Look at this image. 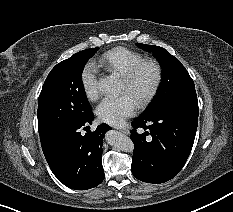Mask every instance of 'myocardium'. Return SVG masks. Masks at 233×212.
Masks as SVG:
<instances>
[{
    "instance_id": "myocardium-1",
    "label": "myocardium",
    "mask_w": 233,
    "mask_h": 212,
    "mask_svg": "<svg viewBox=\"0 0 233 212\" xmlns=\"http://www.w3.org/2000/svg\"><path fill=\"white\" fill-rule=\"evenodd\" d=\"M150 66L154 70V79L149 88L148 92L139 100L138 105L140 107H144L148 105L155 95L157 94L159 87L161 85L163 79V69L158 61L155 59H143L137 64H135L125 75L122 76V81L131 86L135 83L138 78L140 72L146 67Z\"/></svg>"
}]
</instances>
